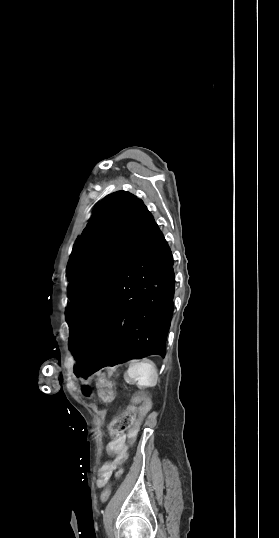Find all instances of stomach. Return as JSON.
<instances>
[{"label":"stomach","mask_w":279,"mask_h":538,"mask_svg":"<svg viewBox=\"0 0 279 538\" xmlns=\"http://www.w3.org/2000/svg\"><path fill=\"white\" fill-rule=\"evenodd\" d=\"M101 385H104V382H101ZM106 385L108 386H100L99 395L106 405H112L117 398V393L113 390L114 386L112 384L106 382Z\"/></svg>","instance_id":"1"}]
</instances>
